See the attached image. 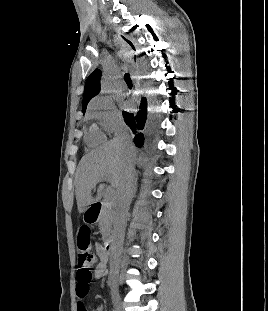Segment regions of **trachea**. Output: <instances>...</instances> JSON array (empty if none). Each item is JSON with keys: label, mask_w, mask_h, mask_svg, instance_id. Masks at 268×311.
Returning a JSON list of instances; mask_svg holds the SVG:
<instances>
[{"label": "trachea", "mask_w": 268, "mask_h": 311, "mask_svg": "<svg viewBox=\"0 0 268 311\" xmlns=\"http://www.w3.org/2000/svg\"><path fill=\"white\" fill-rule=\"evenodd\" d=\"M124 80L126 83H132L129 73H125Z\"/></svg>", "instance_id": "1"}]
</instances>
